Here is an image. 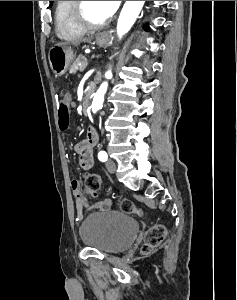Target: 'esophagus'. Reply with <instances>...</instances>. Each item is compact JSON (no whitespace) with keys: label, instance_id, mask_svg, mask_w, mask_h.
Segmentation results:
<instances>
[{"label":"esophagus","instance_id":"obj_1","mask_svg":"<svg viewBox=\"0 0 237 300\" xmlns=\"http://www.w3.org/2000/svg\"><path fill=\"white\" fill-rule=\"evenodd\" d=\"M104 38H108V35L107 34H103V33H101V34L98 35V39H104Z\"/></svg>","mask_w":237,"mask_h":300}]
</instances>
